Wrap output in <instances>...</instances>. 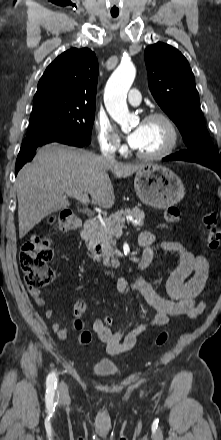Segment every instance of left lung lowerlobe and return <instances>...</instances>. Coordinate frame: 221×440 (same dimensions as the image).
Returning a JSON list of instances; mask_svg holds the SVG:
<instances>
[{
	"label": "left lung lower lobe",
	"instance_id": "left-lung-lower-lobe-1",
	"mask_svg": "<svg viewBox=\"0 0 221 440\" xmlns=\"http://www.w3.org/2000/svg\"><path fill=\"white\" fill-rule=\"evenodd\" d=\"M163 160L169 161V160H183V159H182V157H180V156H178L176 154H173V155L165 157ZM213 170L215 172H217V174L221 177V168H215Z\"/></svg>",
	"mask_w": 221,
	"mask_h": 440
}]
</instances>
